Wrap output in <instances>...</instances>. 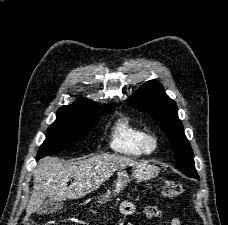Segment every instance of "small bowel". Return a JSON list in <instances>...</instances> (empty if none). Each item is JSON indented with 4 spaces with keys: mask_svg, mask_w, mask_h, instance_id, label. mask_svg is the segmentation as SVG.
<instances>
[{
    "mask_svg": "<svg viewBox=\"0 0 228 225\" xmlns=\"http://www.w3.org/2000/svg\"><path fill=\"white\" fill-rule=\"evenodd\" d=\"M121 211L125 217H130L134 215L136 212L135 204L132 201L126 200L122 203ZM160 214H161V210L157 206L149 205L144 208V215L146 218H149V219L156 218L160 216ZM170 224L182 225L180 219L177 217L173 218ZM127 225H131V224L128 223Z\"/></svg>",
    "mask_w": 228,
    "mask_h": 225,
    "instance_id": "c3829d8e",
    "label": "small bowel"
}]
</instances>
